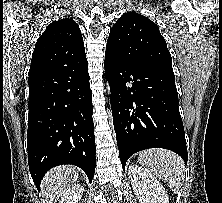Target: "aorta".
<instances>
[{
    "mask_svg": "<svg viewBox=\"0 0 222 203\" xmlns=\"http://www.w3.org/2000/svg\"><path fill=\"white\" fill-rule=\"evenodd\" d=\"M107 91H108V94H110V85L108 82H107Z\"/></svg>",
    "mask_w": 222,
    "mask_h": 203,
    "instance_id": "1",
    "label": "aorta"
}]
</instances>
